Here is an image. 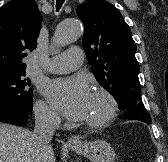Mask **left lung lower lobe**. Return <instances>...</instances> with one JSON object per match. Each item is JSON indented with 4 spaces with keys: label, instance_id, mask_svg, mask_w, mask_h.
<instances>
[{
    "label": "left lung lower lobe",
    "instance_id": "1",
    "mask_svg": "<svg viewBox=\"0 0 168 162\" xmlns=\"http://www.w3.org/2000/svg\"><path fill=\"white\" fill-rule=\"evenodd\" d=\"M119 107L122 110H126L121 118L123 119H134L141 122H145L147 124H151V118L149 113L146 111L143 103H139L138 105L131 104H121Z\"/></svg>",
    "mask_w": 168,
    "mask_h": 162
}]
</instances>
